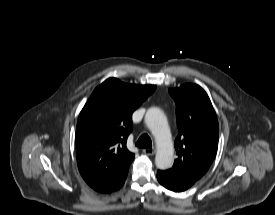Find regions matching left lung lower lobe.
Returning a JSON list of instances; mask_svg holds the SVG:
<instances>
[{"mask_svg":"<svg viewBox=\"0 0 275 215\" xmlns=\"http://www.w3.org/2000/svg\"><path fill=\"white\" fill-rule=\"evenodd\" d=\"M157 179L159 183L163 185L165 188L175 192L185 191L194 184V182L182 179L172 174L168 170L157 171Z\"/></svg>","mask_w":275,"mask_h":215,"instance_id":"1","label":"left lung lower lobe"}]
</instances>
